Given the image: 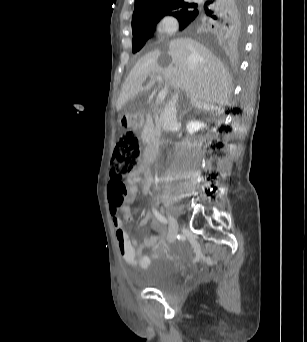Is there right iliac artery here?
I'll return each instance as SVG.
<instances>
[{
	"instance_id": "obj_1",
	"label": "right iliac artery",
	"mask_w": 307,
	"mask_h": 342,
	"mask_svg": "<svg viewBox=\"0 0 307 342\" xmlns=\"http://www.w3.org/2000/svg\"><path fill=\"white\" fill-rule=\"evenodd\" d=\"M153 213L160 222H162L164 224H168L167 218L165 216L161 215L156 209H153Z\"/></svg>"
}]
</instances>
